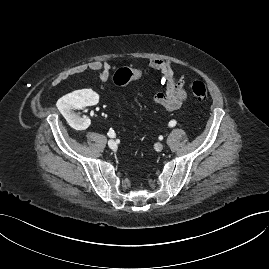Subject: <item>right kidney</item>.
<instances>
[{
    "instance_id": "obj_1",
    "label": "right kidney",
    "mask_w": 269,
    "mask_h": 269,
    "mask_svg": "<svg viewBox=\"0 0 269 269\" xmlns=\"http://www.w3.org/2000/svg\"><path fill=\"white\" fill-rule=\"evenodd\" d=\"M98 99V94L91 89L76 90L60 98L57 101V108L70 125H76L85 129L90 125V119L86 117L81 118L73 113L72 110L95 105Z\"/></svg>"
}]
</instances>
